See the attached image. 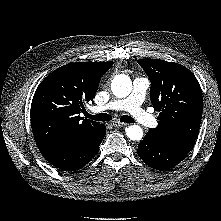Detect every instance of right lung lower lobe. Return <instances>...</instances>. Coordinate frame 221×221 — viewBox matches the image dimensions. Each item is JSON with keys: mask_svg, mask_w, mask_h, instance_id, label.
<instances>
[{"mask_svg": "<svg viewBox=\"0 0 221 221\" xmlns=\"http://www.w3.org/2000/svg\"><path fill=\"white\" fill-rule=\"evenodd\" d=\"M105 134L106 127L103 125L96 134L70 146L46 144L37 146L44 158L53 166L65 171H75L84 167L97 154Z\"/></svg>", "mask_w": 221, "mask_h": 221, "instance_id": "right-lung-lower-lobe-1", "label": "right lung lower lobe"}]
</instances>
